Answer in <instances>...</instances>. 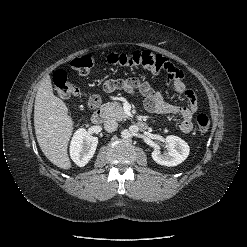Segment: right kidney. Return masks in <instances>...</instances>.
Returning a JSON list of instances; mask_svg holds the SVG:
<instances>
[{"label":"right kidney","mask_w":247,"mask_h":247,"mask_svg":"<svg viewBox=\"0 0 247 247\" xmlns=\"http://www.w3.org/2000/svg\"><path fill=\"white\" fill-rule=\"evenodd\" d=\"M98 144V138L85 129H78L71 140L70 156L79 167H84L93 157Z\"/></svg>","instance_id":"ca27d5eb"}]
</instances>
